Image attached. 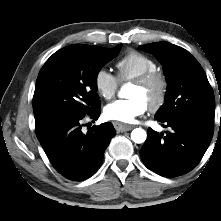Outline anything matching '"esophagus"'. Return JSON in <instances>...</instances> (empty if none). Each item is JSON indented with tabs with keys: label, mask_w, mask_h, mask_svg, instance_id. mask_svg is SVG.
I'll return each instance as SVG.
<instances>
[{
	"label": "esophagus",
	"mask_w": 221,
	"mask_h": 221,
	"mask_svg": "<svg viewBox=\"0 0 221 221\" xmlns=\"http://www.w3.org/2000/svg\"><path fill=\"white\" fill-rule=\"evenodd\" d=\"M113 125L118 132H126V131H130L134 128L133 125L123 124V123L117 122V121H115L113 123Z\"/></svg>",
	"instance_id": "esophagus-1"
}]
</instances>
